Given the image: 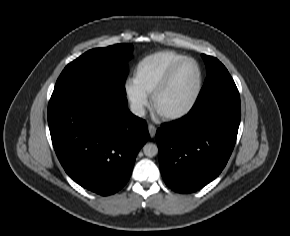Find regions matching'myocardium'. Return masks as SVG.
<instances>
[{"label":"myocardium","mask_w":290,"mask_h":236,"mask_svg":"<svg viewBox=\"0 0 290 236\" xmlns=\"http://www.w3.org/2000/svg\"><path fill=\"white\" fill-rule=\"evenodd\" d=\"M186 62H191L195 65L197 69V76H198L196 89L191 100L185 107L179 110L172 111V112L160 111L156 106L157 98L168 87L176 70ZM202 88H203V71L199 62L192 57H183L169 69V71L167 72L165 77L162 79V81L153 90L151 94V98H150L151 109L155 113L156 116H158L159 118L165 121L176 120V119L182 118L186 116L194 108V106L196 105L201 95Z\"/></svg>","instance_id":"myocardium-1"}]
</instances>
